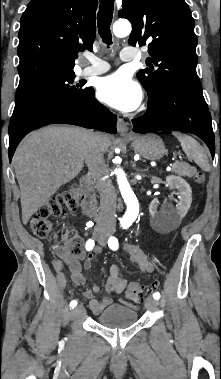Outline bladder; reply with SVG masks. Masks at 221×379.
Returning a JSON list of instances; mask_svg holds the SVG:
<instances>
[{
	"label": "bladder",
	"instance_id": "obj_1",
	"mask_svg": "<svg viewBox=\"0 0 221 379\" xmlns=\"http://www.w3.org/2000/svg\"><path fill=\"white\" fill-rule=\"evenodd\" d=\"M138 319V314L135 309L113 304L104 309L96 317V321L107 328H125L133 325Z\"/></svg>",
	"mask_w": 221,
	"mask_h": 379
}]
</instances>
